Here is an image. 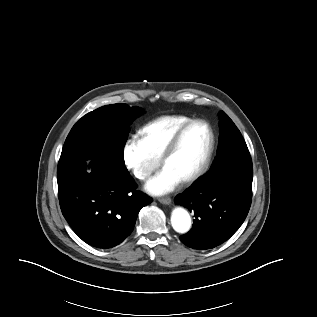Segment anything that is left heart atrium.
Instances as JSON below:
<instances>
[{"instance_id":"obj_1","label":"left heart atrium","mask_w":317,"mask_h":317,"mask_svg":"<svg viewBox=\"0 0 317 317\" xmlns=\"http://www.w3.org/2000/svg\"><path fill=\"white\" fill-rule=\"evenodd\" d=\"M180 181L171 169L164 167L147 183L146 189L153 195H162L172 191Z\"/></svg>"}]
</instances>
